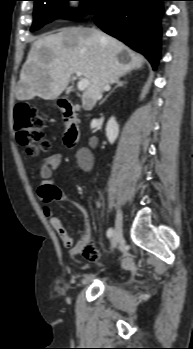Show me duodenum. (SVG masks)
I'll use <instances>...</instances> for the list:
<instances>
[{"label": "duodenum", "mask_w": 193, "mask_h": 349, "mask_svg": "<svg viewBox=\"0 0 193 349\" xmlns=\"http://www.w3.org/2000/svg\"><path fill=\"white\" fill-rule=\"evenodd\" d=\"M59 108L63 114L66 131L64 134L65 144L72 148L80 138V125L77 118L76 107L73 102L65 99L59 100Z\"/></svg>", "instance_id": "duodenum-1"}]
</instances>
